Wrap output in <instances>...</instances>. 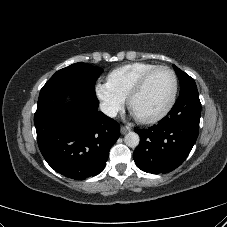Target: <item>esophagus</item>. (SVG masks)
<instances>
[{"label":"esophagus","instance_id":"1","mask_svg":"<svg viewBox=\"0 0 227 227\" xmlns=\"http://www.w3.org/2000/svg\"><path fill=\"white\" fill-rule=\"evenodd\" d=\"M129 131H130V127H128V126H121V133L123 135L126 134Z\"/></svg>","mask_w":227,"mask_h":227}]
</instances>
